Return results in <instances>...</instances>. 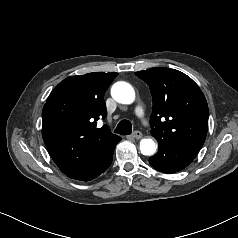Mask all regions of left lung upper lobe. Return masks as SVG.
Wrapping results in <instances>:
<instances>
[{
	"instance_id": "obj_1",
	"label": "left lung upper lobe",
	"mask_w": 238,
	"mask_h": 238,
	"mask_svg": "<svg viewBox=\"0 0 238 238\" xmlns=\"http://www.w3.org/2000/svg\"><path fill=\"white\" fill-rule=\"evenodd\" d=\"M153 97L151 134L159 142L200 150L208 130V105L198 85L186 74L169 68L135 72Z\"/></svg>"
}]
</instances>
